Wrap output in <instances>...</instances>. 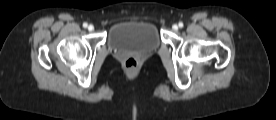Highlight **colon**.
Instances as JSON below:
<instances>
[{"label": "colon", "mask_w": 276, "mask_h": 120, "mask_svg": "<svg viewBox=\"0 0 276 120\" xmlns=\"http://www.w3.org/2000/svg\"><path fill=\"white\" fill-rule=\"evenodd\" d=\"M124 65L128 70H134L136 69L138 62L134 57H128L125 60Z\"/></svg>", "instance_id": "1"}]
</instances>
